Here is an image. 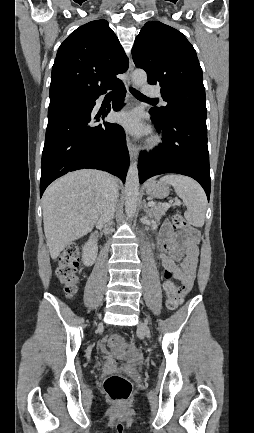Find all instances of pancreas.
I'll return each mask as SVG.
<instances>
[{"instance_id": "cf45deb5", "label": "pancreas", "mask_w": 254, "mask_h": 433, "mask_svg": "<svg viewBox=\"0 0 254 433\" xmlns=\"http://www.w3.org/2000/svg\"><path fill=\"white\" fill-rule=\"evenodd\" d=\"M168 207L163 204H155L150 207V216L156 220H160L165 215Z\"/></svg>"}]
</instances>
